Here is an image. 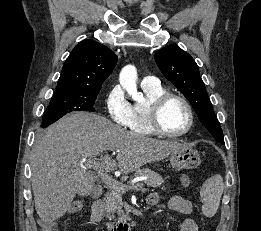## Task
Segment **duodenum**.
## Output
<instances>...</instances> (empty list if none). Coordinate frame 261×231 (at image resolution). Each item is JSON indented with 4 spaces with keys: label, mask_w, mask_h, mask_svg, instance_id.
<instances>
[{
    "label": "duodenum",
    "mask_w": 261,
    "mask_h": 231,
    "mask_svg": "<svg viewBox=\"0 0 261 231\" xmlns=\"http://www.w3.org/2000/svg\"><path fill=\"white\" fill-rule=\"evenodd\" d=\"M103 206L101 198H98L94 201L92 206V219L93 221H98L103 216ZM131 223L130 222H121L111 226L112 231H130Z\"/></svg>",
    "instance_id": "obj_1"
}]
</instances>
